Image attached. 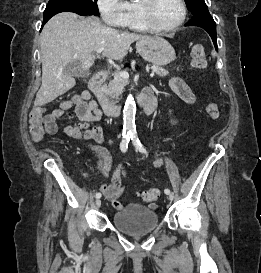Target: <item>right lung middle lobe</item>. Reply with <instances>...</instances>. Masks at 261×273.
<instances>
[{
	"instance_id": "1",
	"label": "right lung middle lobe",
	"mask_w": 261,
	"mask_h": 273,
	"mask_svg": "<svg viewBox=\"0 0 261 273\" xmlns=\"http://www.w3.org/2000/svg\"><path fill=\"white\" fill-rule=\"evenodd\" d=\"M76 2L83 4L89 15H99L97 0H50L44 11V17H52L60 12H74Z\"/></svg>"
}]
</instances>
